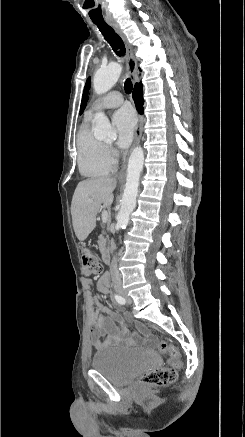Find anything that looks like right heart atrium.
Listing matches in <instances>:
<instances>
[{
  "instance_id": "right-heart-atrium-1",
  "label": "right heart atrium",
  "mask_w": 245,
  "mask_h": 437,
  "mask_svg": "<svg viewBox=\"0 0 245 437\" xmlns=\"http://www.w3.org/2000/svg\"><path fill=\"white\" fill-rule=\"evenodd\" d=\"M107 154H108L109 159L115 163L116 153H115L114 149H112L111 147H107Z\"/></svg>"
}]
</instances>
